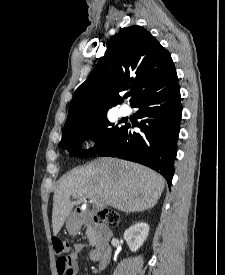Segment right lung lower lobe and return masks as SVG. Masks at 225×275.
Here are the masks:
<instances>
[{
	"instance_id": "1",
	"label": "right lung lower lobe",
	"mask_w": 225,
	"mask_h": 275,
	"mask_svg": "<svg viewBox=\"0 0 225 275\" xmlns=\"http://www.w3.org/2000/svg\"><path fill=\"white\" fill-rule=\"evenodd\" d=\"M132 106L139 109L137 114L143 118L137 125L142 133L132 131L135 125L125 124L98 154L144 164L162 174L170 187L182 115L178 79L164 89L142 97Z\"/></svg>"
}]
</instances>
